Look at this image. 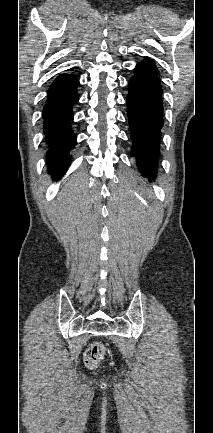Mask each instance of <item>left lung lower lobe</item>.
<instances>
[{
	"label": "left lung lower lobe",
	"mask_w": 213,
	"mask_h": 433,
	"mask_svg": "<svg viewBox=\"0 0 213 433\" xmlns=\"http://www.w3.org/2000/svg\"><path fill=\"white\" fill-rule=\"evenodd\" d=\"M128 87L131 155L141 174L151 181L156 175L163 127L162 87L155 63L149 58L138 63Z\"/></svg>",
	"instance_id": "left-lung-lower-lobe-1"
}]
</instances>
